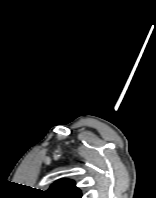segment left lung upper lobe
<instances>
[{
    "label": "left lung upper lobe",
    "mask_w": 156,
    "mask_h": 198,
    "mask_svg": "<svg viewBox=\"0 0 156 198\" xmlns=\"http://www.w3.org/2000/svg\"><path fill=\"white\" fill-rule=\"evenodd\" d=\"M44 194L46 198H81V192L74 181L68 179L56 181Z\"/></svg>",
    "instance_id": "1"
}]
</instances>
